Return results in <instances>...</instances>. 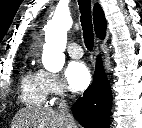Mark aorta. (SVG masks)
Here are the masks:
<instances>
[{
	"label": "aorta",
	"instance_id": "762f6f07",
	"mask_svg": "<svg viewBox=\"0 0 142 128\" xmlns=\"http://www.w3.org/2000/svg\"><path fill=\"white\" fill-rule=\"evenodd\" d=\"M72 24L73 21L69 13L55 12L45 27L43 65L50 72H59L64 66L67 32Z\"/></svg>",
	"mask_w": 142,
	"mask_h": 128
}]
</instances>
